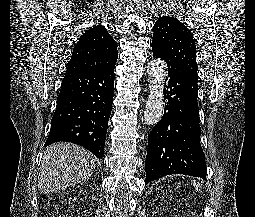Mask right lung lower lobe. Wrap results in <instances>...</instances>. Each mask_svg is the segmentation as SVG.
<instances>
[{
  "mask_svg": "<svg viewBox=\"0 0 255 217\" xmlns=\"http://www.w3.org/2000/svg\"><path fill=\"white\" fill-rule=\"evenodd\" d=\"M114 68L68 71L61 83L45 146L59 141L79 144L104 157L114 95Z\"/></svg>",
  "mask_w": 255,
  "mask_h": 217,
  "instance_id": "98d812e1",
  "label": "right lung lower lobe"
}]
</instances>
